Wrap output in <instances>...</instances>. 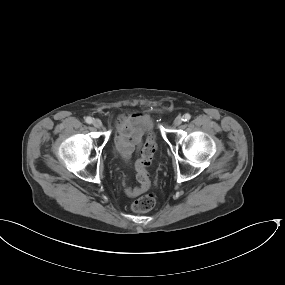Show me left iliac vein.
<instances>
[{
	"mask_svg": "<svg viewBox=\"0 0 285 285\" xmlns=\"http://www.w3.org/2000/svg\"><path fill=\"white\" fill-rule=\"evenodd\" d=\"M183 119L181 116H177L175 119H174V125L175 126H179L181 123H182Z\"/></svg>",
	"mask_w": 285,
	"mask_h": 285,
	"instance_id": "left-iliac-vein-1",
	"label": "left iliac vein"
}]
</instances>
